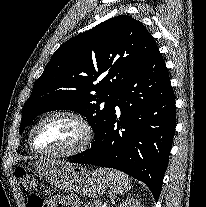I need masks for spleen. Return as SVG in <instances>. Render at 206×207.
I'll list each match as a JSON object with an SVG mask.
<instances>
[{"mask_svg":"<svg viewBox=\"0 0 206 207\" xmlns=\"http://www.w3.org/2000/svg\"><path fill=\"white\" fill-rule=\"evenodd\" d=\"M95 173L107 182L112 192L124 195L130 189V178L123 172L99 168Z\"/></svg>","mask_w":206,"mask_h":207,"instance_id":"1","label":"spleen"}]
</instances>
